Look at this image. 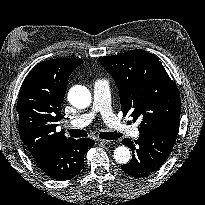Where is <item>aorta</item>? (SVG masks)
I'll use <instances>...</instances> for the list:
<instances>
[{
	"mask_svg": "<svg viewBox=\"0 0 205 205\" xmlns=\"http://www.w3.org/2000/svg\"><path fill=\"white\" fill-rule=\"evenodd\" d=\"M68 101L77 109H85L91 104V93L85 86L75 85L68 92ZM113 156L115 161L120 164H126L131 159L130 150L126 146L115 148Z\"/></svg>",
	"mask_w": 205,
	"mask_h": 205,
	"instance_id": "obj_1",
	"label": "aorta"
}]
</instances>
